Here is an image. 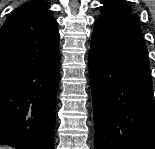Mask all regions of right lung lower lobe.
<instances>
[{"label": "right lung lower lobe", "mask_w": 155, "mask_h": 149, "mask_svg": "<svg viewBox=\"0 0 155 149\" xmlns=\"http://www.w3.org/2000/svg\"><path fill=\"white\" fill-rule=\"evenodd\" d=\"M60 55L0 82V144L53 149Z\"/></svg>", "instance_id": "98d812e1"}]
</instances>
